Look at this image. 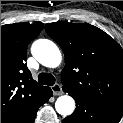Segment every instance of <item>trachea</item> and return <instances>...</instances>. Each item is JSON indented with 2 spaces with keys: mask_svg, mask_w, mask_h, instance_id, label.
<instances>
[{
  "mask_svg": "<svg viewBox=\"0 0 123 123\" xmlns=\"http://www.w3.org/2000/svg\"><path fill=\"white\" fill-rule=\"evenodd\" d=\"M38 82H39V85L53 86L55 83V78L50 73H40L38 75Z\"/></svg>",
  "mask_w": 123,
  "mask_h": 123,
  "instance_id": "trachea-1",
  "label": "trachea"
}]
</instances>
